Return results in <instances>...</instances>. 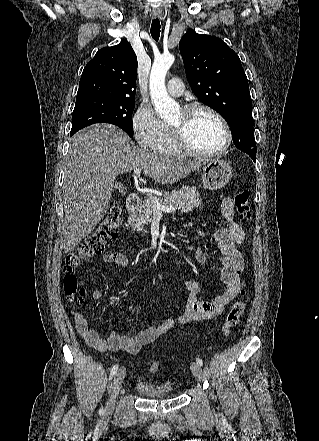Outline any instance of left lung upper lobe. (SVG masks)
<instances>
[{
  "instance_id": "obj_1",
  "label": "left lung upper lobe",
  "mask_w": 319,
  "mask_h": 441,
  "mask_svg": "<svg viewBox=\"0 0 319 441\" xmlns=\"http://www.w3.org/2000/svg\"><path fill=\"white\" fill-rule=\"evenodd\" d=\"M192 91L228 123L235 146L255 161L252 102L238 55L221 39L188 31L180 40Z\"/></svg>"
}]
</instances>
